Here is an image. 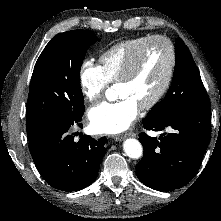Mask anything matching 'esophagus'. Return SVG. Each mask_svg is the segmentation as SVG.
I'll return each instance as SVG.
<instances>
[{
	"mask_svg": "<svg viewBox=\"0 0 221 221\" xmlns=\"http://www.w3.org/2000/svg\"><path fill=\"white\" fill-rule=\"evenodd\" d=\"M129 136H134V133L130 132V133H127L124 135H115V136H113V139L115 141H122L123 139H125L126 137H129Z\"/></svg>",
	"mask_w": 221,
	"mask_h": 221,
	"instance_id": "1",
	"label": "esophagus"
}]
</instances>
